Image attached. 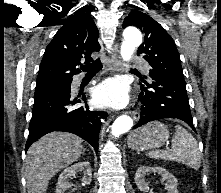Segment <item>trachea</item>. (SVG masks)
Listing matches in <instances>:
<instances>
[{
    "mask_svg": "<svg viewBox=\"0 0 221 193\" xmlns=\"http://www.w3.org/2000/svg\"><path fill=\"white\" fill-rule=\"evenodd\" d=\"M101 68H102V63L99 58L90 64L80 67L81 70L86 71L87 73L98 72Z\"/></svg>",
    "mask_w": 221,
    "mask_h": 193,
    "instance_id": "trachea-1",
    "label": "trachea"
}]
</instances>
